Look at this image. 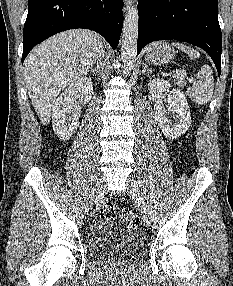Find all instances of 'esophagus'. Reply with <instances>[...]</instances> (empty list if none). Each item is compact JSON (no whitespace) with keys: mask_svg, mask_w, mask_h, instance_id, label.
<instances>
[{"mask_svg":"<svg viewBox=\"0 0 233 286\" xmlns=\"http://www.w3.org/2000/svg\"><path fill=\"white\" fill-rule=\"evenodd\" d=\"M125 2V9L128 10L132 4V0H124Z\"/></svg>","mask_w":233,"mask_h":286,"instance_id":"1","label":"esophagus"}]
</instances>
